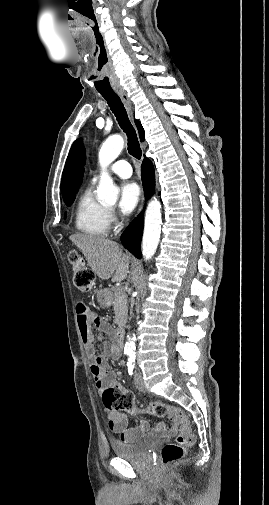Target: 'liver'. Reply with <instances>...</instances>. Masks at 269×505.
<instances>
[{"mask_svg":"<svg viewBox=\"0 0 269 505\" xmlns=\"http://www.w3.org/2000/svg\"><path fill=\"white\" fill-rule=\"evenodd\" d=\"M69 239L81 250L88 266L103 280L121 282L129 272V259L119 244L102 237L76 233Z\"/></svg>","mask_w":269,"mask_h":505,"instance_id":"liver-1","label":"liver"}]
</instances>
